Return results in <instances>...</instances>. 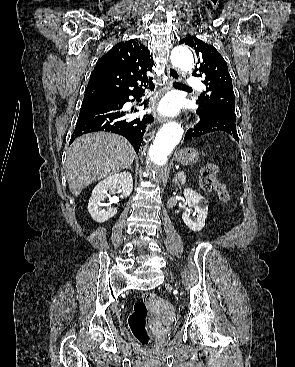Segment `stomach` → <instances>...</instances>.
<instances>
[{
	"mask_svg": "<svg viewBox=\"0 0 295 367\" xmlns=\"http://www.w3.org/2000/svg\"><path fill=\"white\" fill-rule=\"evenodd\" d=\"M199 152L194 148H183L176 153V160L184 166L195 164L199 160Z\"/></svg>",
	"mask_w": 295,
	"mask_h": 367,
	"instance_id": "0dacf381",
	"label": "stomach"
}]
</instances>
